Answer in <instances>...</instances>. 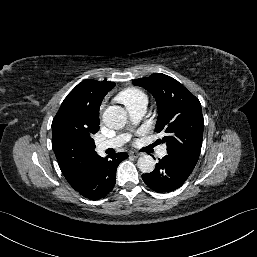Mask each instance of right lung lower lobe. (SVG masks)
Segmentation results:
<instances>
[{"label":"right lung lower lobe","instance_id":"1","mask_svg":"<svg viewBox=\"0 0 257 257\" xmlns=\"http://www.w3.org/2000/svg\"><path fill=\"white\" fill-rule=\"evenodd\" d=\"M127 157V153H116L109 158L98 156L84 180L74 189L90 200L105 197L115 185L118 165Z\"/></svg>","mask_w":257,"mask_h":257}]
</instances>
